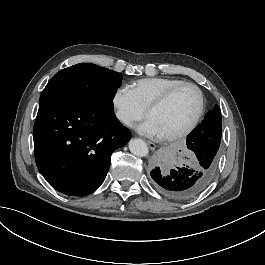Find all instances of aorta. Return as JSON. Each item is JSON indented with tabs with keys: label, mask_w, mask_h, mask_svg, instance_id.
Here are the masks:
<instances>
[{
	"label": "aorta",
	"mask_w": 265,
	"mask_h": 265,
	"mask_svg": "<svg viewBox=\"0 0 265 265\" xmlns=\"http://www.w3.org/2000/svg\"><path fill=\"white\" fill-rule=\"evenodd\" d=\"M129 150L137 157H146L149 155L148 146L141 139L131 140L129 143Z\"/></svg>",
	"instance_id": "aorta-1"
}]
</instances>
